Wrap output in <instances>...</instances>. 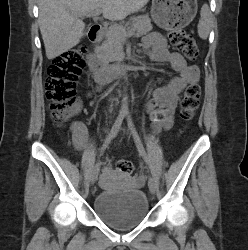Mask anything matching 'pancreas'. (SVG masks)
Instances as JSON below:
<instances>
[{
  "instance_id": "pancreas-1",
  "label": "pancreas",
  "mask_w": 248,
  "mask_h": 250,
  "mask_svg": "<svg viewBox=\"0 0 248 250\" xmlns=\"http://www.w3.org/2000/svg\"><path fill=\"white\" fill-rule=\"evenodd\" d=\"M130 25V26H128ZM153 29L148 15H140L132 19L130 24L114 25L104 32L105 40L97 48L98 57L105 63L118 62L124 57L122 42L126 38L123 31L132 30L137 36L147 34Z\"/></svg>"
}]
</instances>
